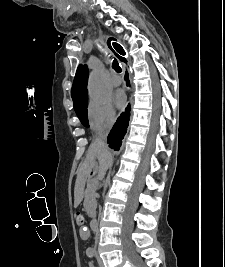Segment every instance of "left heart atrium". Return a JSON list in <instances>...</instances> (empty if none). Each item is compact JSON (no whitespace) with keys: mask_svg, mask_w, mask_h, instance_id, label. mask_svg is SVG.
<instances>
[{"mask_svg":"<svg viewBox=\"0 0 225 267\" xmlns=\"http://www.w3.org/2000/svg\"><path fill=\"white\" fill-rule=\"evenodd\" d=\"M126 102V98L125 95L123 93H118L116 95V103L118 107H123L125 105Z\"/></svg>","mask_w":225,"mask_h":267,"instance_id":"39dd6f15","label":"left heart atrium"}]
</instances>
